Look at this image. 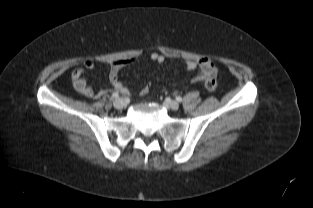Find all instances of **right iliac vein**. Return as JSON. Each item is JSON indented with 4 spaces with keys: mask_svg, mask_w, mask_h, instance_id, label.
<instances>
[{
    "mask_svg": "<svg viewBox=\"0 0 313 208\" xmlns=\"http://www.w3.org/2000/svg\"><path fill=\"white\" fill-rule=\"evenodd\" d=\"M113 105L116 109H122L126 106V102L122 98H117L114 100Z\"/></svg>",
    "mask_w": 313,
    "mask_h": 208,
    "instance_id": "right-iliac-vein-1",
    "label": "right iliac vein"
}]
</instances>
